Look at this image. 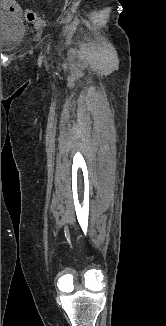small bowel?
<instances>
[{
    "instance_id": "small-bowel-1",
    "label": "small bowel",
    "mask_w": 166,
    "mask_h": 326,
    "mask_svg": "<svg viewBox=\"0 0 166 326\" xmlns=\"http://www.w3.org/2000/svg\"><path fill=\"white\" fill-rule=\"evenodd\" d=\"M1 9L9 10L15 15H22L23 13L16 0H1Z\"/></svg>"
}]
</instances>
